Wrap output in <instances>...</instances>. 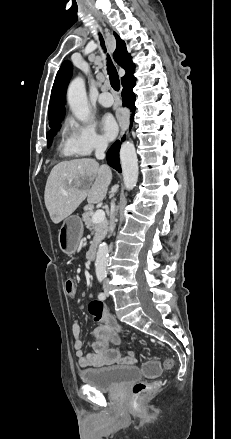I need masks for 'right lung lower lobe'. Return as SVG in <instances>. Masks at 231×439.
<instances>
[{
    "instance_id": "98d812e1",
    "label": "right lung lower lobe",
    "mask_w": 231,
    "mask_h": 439,
    "mask_svg": "<svg viewBox=\"0 0 231 439\" xmlns=\"http://www.w3.org/2000/svg\"><path fill=\"white\" fill-rule=\"evenodd\" d=\"M135 78H130L127 81H125L124 83H122L123 85V90H122V97H123V105L127 106L128 108H130V110L133 112L132 116H131V121L135 112V105H134V101H135V94L133 92V87L135 85ZM132 124L130 125V129H131ZM125 140V137L122 138V141ZM119 150H120V141H116L111 148L108 150L107 152V161H108V165H110L112 168L116 169L118 172H121V167H120V163H119Z\"/></svg>"
}]
</instances>
